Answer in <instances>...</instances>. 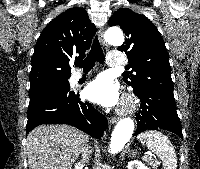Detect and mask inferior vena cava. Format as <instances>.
Returning <instances> with one entry per match:
<instances>
[{"label":"inferior vena cava","mask_w":200,"mask_h":169,"mask_svg":"<svg viewBox=\"0 0 200 169\" xmlns=\"http://www.w3.org/2000/svg\"><path fill=\"white\" fill-rule=\"evenodd\" d=\"M82 152H83V154H82V165H83L85 162L88 161V148L84 147L82 149Z\"/></svg>","instance_id":"inferior-vena-cava-1"}]
</instances>
